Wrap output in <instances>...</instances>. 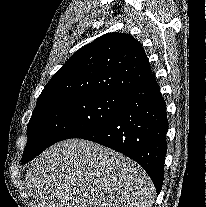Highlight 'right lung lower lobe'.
<instances>
[{"label": "right lung lower lobe", "instance_id": "right-lung-lower-lobe-1", "mask_svg": "<svg viewBox=\"0 0 206 207\" xmlns=\"http://www.w3.org/2000/svg\"><path fill=\"white\" fill-rule=\"evenodd\" d=\"M125 97L124 105L115 115L76 138L99 143L136 161L159 194L164 179L168 119L155 75L131 87ZM33 158L21 161L27 163Z\"/></svg>", "mask_w": 206, "mask_h": 207}]
</instances>
